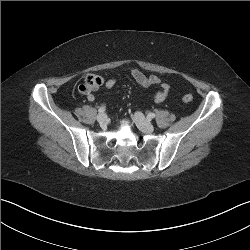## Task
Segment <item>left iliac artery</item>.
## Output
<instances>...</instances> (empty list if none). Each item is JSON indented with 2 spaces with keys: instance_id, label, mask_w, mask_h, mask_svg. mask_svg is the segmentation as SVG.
Masks as SVG:
<instances>
[{
  "instance_id": "44dca946",
  "label": "left iliac artery",
  "mask_w": 250,
  "mask_h": 250,
  "mask_svg": "<svg viewBox=\"0 0 250 250\" xmlns=\"http://www.w3.org/2000/svg\"><path fill=\"white\" fill-rule=\"evenodd\" d=\"M155 114L154 113H149L148 115H147V117L149 118V119H153V118H155Z\"/></svg>"
}]
</instances>
